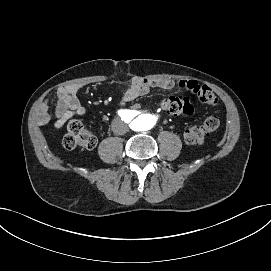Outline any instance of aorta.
I'll return each mask as SVG.
<instances>
[{
	"mask_svg": "<svg viewBox=\"0 0 271 271\" xmlns=\"http://www.w3.org/2000/svg\"><path fill=\"white\" fill-rule=\"evenodd\" d=\"M149 119H150V123L154 124L156 122V120H157V117L156 116H150Z\"/></svg>",
	"mask_w": 271,
	"mask_h": 271,
	"instance_id": "1",
	"label": "aorta"
}]
</instances>
